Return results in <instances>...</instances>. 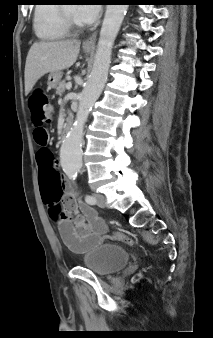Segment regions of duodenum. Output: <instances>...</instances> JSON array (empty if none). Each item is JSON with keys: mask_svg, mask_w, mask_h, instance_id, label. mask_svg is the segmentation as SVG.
<instances>
[{"mask_svg": "<svg viewBox=\"0 0 213 338\" xmlns=\"http://www.w3.org/2000/svg\"><path fill=\"white\" fill-rule=\"evenodd\" d=\"M71 127H72V121H71V119L69 118L68 121L66 122L65 126H64V129H63V136H66V135L69 133Z\"/></svg>", "mask_w": 213, "mask_h": 338, "instance_id": "duodenum-1", "label": "duodenum"}]
</instances>
